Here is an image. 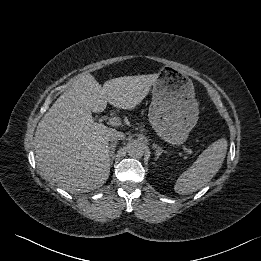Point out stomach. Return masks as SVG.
<instances>
[{
    "label": "stomach",
    "mask_w": 261,
    "mask_h": 261,
    "mask_svg": "<svg viewBox=\"0 0 261 261\" xmlns=\"http://www.w3.org/2000/svg\"><path fill=\"white\" fill-rule=\"evenodd\" d=\"M153 83L148 118L157 135L172 145L186 141L198 121V102L192 80L163 67Z\"/></svg>",
    "instance_id": "0dacf381"
}]
</instances>
